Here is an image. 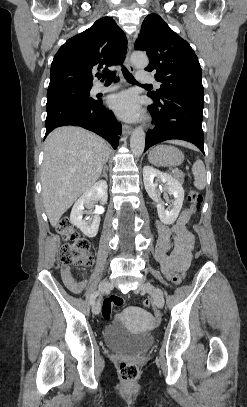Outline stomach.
Segmentation results:
<instances>
[{
  "mask_svg": "<svg viewBox=\"0 0 247 407\" xmlns=\"http://www.w3.org/2000/svg\"><path fill=\"white\" fill-rule=\"evenodd\" d=\"M148 160L156 166H178L184 161V154L174 146L159 145L150 151Z\"/></svg>",
  "mask_w": 247,
  "mask_h": 407,
  "instance_id": "stomach-1",
  "label": "stomach"
}]
</instances>
